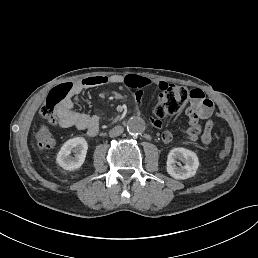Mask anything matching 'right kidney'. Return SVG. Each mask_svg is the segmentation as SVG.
Returning <instances> with one entry per match:
<instances>
[{
  "instance_id": "obj_1",
  "label": "right kidney",
  "mask_w": 258,
  "mask_h": 258,
  "mask_svg": "<svg viewBox=\"0 0 258 258\" xmlns=\"http://www.w3.org/2000/svg\"><path fill=\"white\" fill-rule=\"evenodd\" d=\"M87 147V142L82 138L68 140L57 155V163L66 170L79 168L85 159Z\"/></svg>"
}]
</instances>
